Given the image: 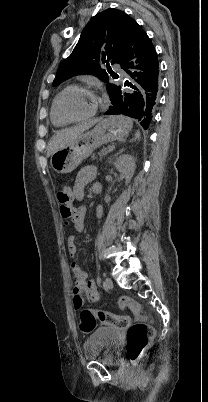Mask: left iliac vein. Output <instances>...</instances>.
<instances>
[{
  "label": "left iliac vein",
  "mask_w": 208,
  "mask_h": 402,
  "mask_svg": "<svg viewBox=\"0 0 208 402\" xmlns=\"http://www.w3.org/2000/svg\"><path fill=\"white\" fill-rule=\"evenodd\" d=\"M104 286L107 290H110L113 288V282L111 280V278L107 277L104 281Z\"/></svg>",
  "instance_id": "1"
}]
</instances>
